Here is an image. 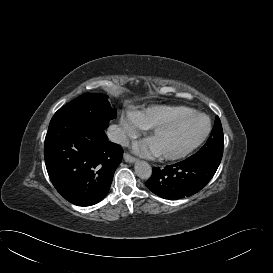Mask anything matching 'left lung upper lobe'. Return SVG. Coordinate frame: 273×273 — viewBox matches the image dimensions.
Segmentation results:
<instances>
[{"label": "left lung upper lobe", "mask_w": 273, "mask_h": 273, "mask_svg": "<svg viewBox=\"0 0 273 273\" xmlns=\"http://www.w3.org/2000/svg\"><path fill=\"white\" fill-rule=\"evenodd\" d=\"M224 147V135L220 119L217 117L215 120L214 129L205 145L194 155L189 157L190 159L208 161L215 166H219Z\"/></svg>", "instance_id": "obj_1"}]
</instances>
